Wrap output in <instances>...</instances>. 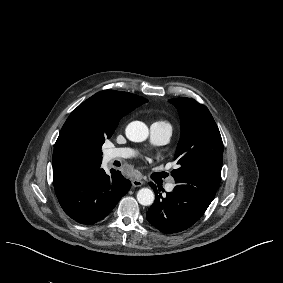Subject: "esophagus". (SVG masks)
Returning <instances> with one entry per match:
<instances>
[{"mask_svg": "<svg viewBox=\"0 0 283 283\" xmlns=\"http://www.w3.org/2000/svg\"><path fill=\"white\" fill-rule=\"evenodd\" d=\"M131 183L134 187H140L144 184V182L142 180H137V179H133L131 181Z\"/></svg>", "mask_w": 283, "mask_h": 283, "instance_id": "1", "label": "esophagus"}]
</instances>
